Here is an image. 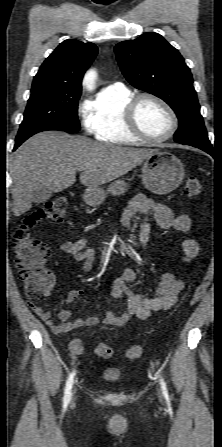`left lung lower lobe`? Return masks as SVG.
Instances as JSON below:
<instances>
[{"label": "left lung lower lobe", "mask_w": 222, "mask_h": 447, "mask_svg": "<svg viewBox=\"0 0 222 447\" xmlns=\"http://www.w3.org/2000/svg\"><path fill=\"white\" fill-rule=\"evenodd\" d=\"M198 148L204 150L205 152L209 153L210 155H214V150L212 145L211 146H207V145H198Z\"/></svg>", "instance_id": "1"}]
</instances>
